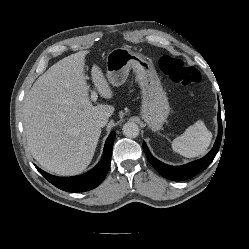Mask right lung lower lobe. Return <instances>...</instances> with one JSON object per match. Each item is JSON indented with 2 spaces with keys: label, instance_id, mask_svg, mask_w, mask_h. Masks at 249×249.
Masks as SVG:
<instances>
[{
  "label": "right lung lower lobe",
  "instance_id": "1",
  "mask_svg": "<svg viewBox=\"0 0 249 249\" xmlns=\"http://www.w3.org/2000/svg\"><path fill=\"white\" fill-rule=\"evenodd\" d=\"M115 132H111L104 146L101 161L89 172L74 177H57L48 174L36 167L37 170L54 186L67 192H84L91 190L102 183L105 179L111 163V154Z\"/></svg>",
  "mask_w": 249,
  "mask_h": 249
}]
</instances>
